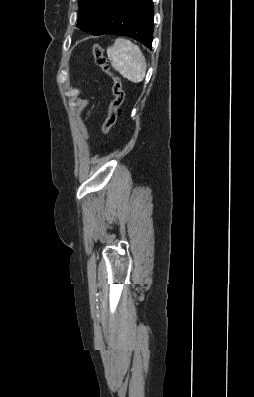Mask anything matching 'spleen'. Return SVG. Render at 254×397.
<instances>
[{
  "mask_svg": "<svg viewBox=\"0 0 254 397\" xmlns=\"http://www.w3.org/2000/svg\"><path fill=\"white\" fill-rule=\"evenodd\" d=\"M112 67L133 83L143 81L146 74V60L141 49L126 39H116L107 49Z\"/></svg>",
  "mask_w": 254,
  "mask_h": 397,
  "instance_id": "1",
  "label": "spleen"
}]
</instances>
